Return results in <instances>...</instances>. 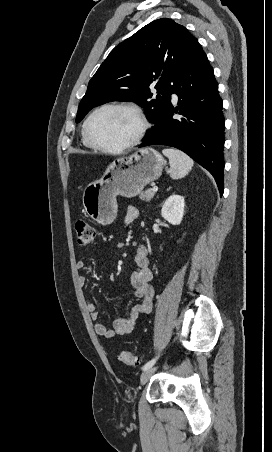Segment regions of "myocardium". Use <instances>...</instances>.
<instances>
[{"label":"myocardium","instance_id":"myocardium-1","mask_svg":"<svg viewBox=\"0 0 272 452\" xmlns=\"http://www.w3.org/2000/svg\"><path fill=\"white\" fill-rule=\"evenodd\" d=\"M107 109H119L130 113L138 123V130L134 137L126 144L119 147H110L98 142L90 132V124L93 118L100 112ZM148 129V122L142 112L135 106L125 103H107L99 106L86 118L83 125V135L86 141L95 149L108 153L119 154L128 151L138 145L144 138Z\"/></svg>","mask_w":272,"mask_h":452}]
</instances>
